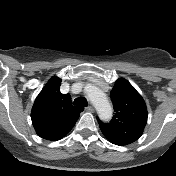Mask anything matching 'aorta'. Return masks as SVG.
<instances>
[{
	"instance_id": "762f6f07",
	"label": "aorta",
	"mask_w": 176,
	"mask_h": 176,
	"mask_svg": "<svg viewBox=\"0 0 176 176\" xmlns=\"http://www.w3.org/2000/svg\"><path fill=\"white\" fill-rule=\"evenodd\" d=\"M88 98L96 108L102 120H109L112 117L113 109L106 94L96 86H90Z\"/></svg>"
}]
</instances>
